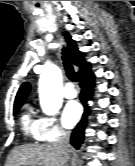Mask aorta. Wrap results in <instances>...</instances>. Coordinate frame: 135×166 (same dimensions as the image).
<instances>
[{"mask_svg": "<svg viewBox=\"0 0 135 166\" xmlns=\"http://www.w3.org/2000/svg\"><path fill=\"white\" fill-rule=\"evenodd\" d=\"M39 97L42 111L47 115H55L63 102L62 74L55 66H47L40 76Z\"/></svg>", "mask_w": 135, "mask_h": 166, "instance_id": "obj_1", "label": "aorta"}]
</instances>
